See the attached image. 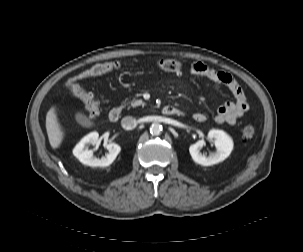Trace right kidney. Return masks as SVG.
Returning a JSON list of instances; mask_svg holds the SVG:
<instances>
[{"mask_svg": "<svg viewBox=\"0 0 303 252\" xmlns=\"http://www.w3.org/2000/svg\"><path fill=\"white\" fill-rule=\"evenodd\" d=\"M99 145V134L91 132L86 135L73 149L74 156L84 165L91 167H106L113 163L117 155L121 151V147L116 143H109L106 145L109 153L101 159L93 156V150L88 149V145Z\"/></svg>", "mask_w": 303, "mask_h": 252, "instance_id": "1", "label": "right kidney"}]
</instances>
